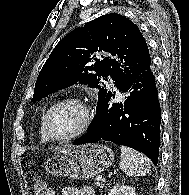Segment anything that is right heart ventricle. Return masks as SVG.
I'll use <instances>...</instances> for the list:
<instances>
[{
  "instance_id": "1",
  "label": "right heart ventricle",
  "mask_w": 189,
  "mask_h": 195,
  "mask_svg": "<svg viewBox=\"0 0 189 195\" xmlns=\"http://www.w3.org/2000/svg\"><path fill=\"white\" fill-rule=\"evenodd\" d=\"M45 115V114H44ZM44 115L41 117V120H40V137H41V140L43 142H47L49 139L45 133V130H44V125H43V120H44Z\"/></svg>"
}]
</instances>
